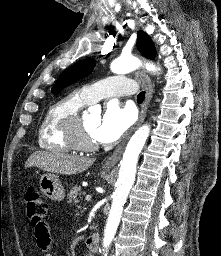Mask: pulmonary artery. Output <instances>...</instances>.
I'll list each match as a JSON object with an SVG mask.
<instances>
[{
  "mask_svg": "<svg viewBox=\"0 0 221 256\" xmlns=\"http://www.w3.org/2000/svg\"><path fill=\"white\" fill-rule=\"evenodd\" d=\"M80 92L88 103H94L106 97L132 95L135 92V83L126 77L113 76L86 85Z\"/></svg>",
  "mask_w": 221,
  "mask_h": 256,
  "instance_id": "e3ab8cb5",
  "label": "pulmonary artery"
}]
</instances>
